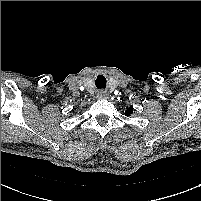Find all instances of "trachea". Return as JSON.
I'll return each mask as SVG.
<instances>
[{"label": "trachea", "instance_id": "obj_1", "mask_svg": "<svg viewBox=\"0 0 201 201\" xmlns=\"http://www.w3.org/2000/svg\"><path fill=\"white\" fill-rule=\"evenodd\" d=\"M97 89H104L106 87V78L103 75H99L95 80Z\"/></svg>", "mask_w": 201, "mask_h": 201}]
</instances>
